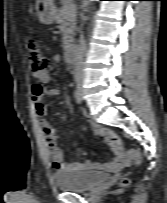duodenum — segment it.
<instances>
[{"instance_id":"duodenum-1","label":"duodenum","mask_w":167,"mask_h":203,"mask_svg":"<svg viewBox=\"0 0 167 203\" xmlns=\"http://www.w3.org/2000/svg\"><path fill=\"white\" fill-rule=\"evenodd\" d=\"M65 59L68 63H74L76 60V49L73 45H69L65 51Z\"/></svg>"}]
</instances>
